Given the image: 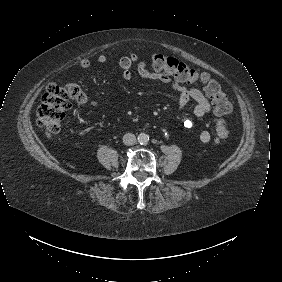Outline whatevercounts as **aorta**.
<instances>
[{
	"instance_id": "aorta-1",
	"label": "aorta",
	"mask_w": 282,
	"mask_h": 282,
	"mask_svg": "<svg viewBox=\"0 0 282 282\" xmlns=\"http://www.w3.org/2000/svg\"><path fill=\"white\" fill-rule=\"evenodd\" d=\"M149 140H150V136L145 132H141L137 136V142L140 145H147Z\"/></svg>"
}]
</instances>
